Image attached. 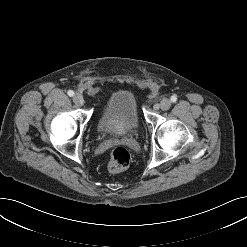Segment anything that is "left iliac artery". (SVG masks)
I'll return each instance as SVG.
<instances>
[{
    "instance_id": "obj_1",
    "label": "left iliac artery",
    "mask_w": 247,
    "mask_h": 247,
    "mask_svg": "<svg viewBox=\"0 0 247 247\" xmlns=\"http://www.w3.org/2000/svg\"><path fill=\"white\" fill-rule=\"evenodd\" d=\"M171 101L172 102H176L177 101V96H175V95L171 96Z\"/></svg>"
}]
</instances>
